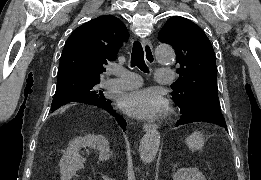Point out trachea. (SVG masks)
<instances>
[{
	"instance_id": "trachea-1",
	"label": "trachea",
	"mask_w": 261,
	"mask_h": 180,
	"mask_svg": "<svg viewBox=\"0 0 261 180\" xmlns=\"http://www.w3.org/2000/svg\"><path fill=\"white\" fill-rule=\"evenodd\" d=\"M131 67H138L142 72L149 73L148 67L144 61V52L139 41H135L133 44L132 54H131Z\"/></svg>"
}]
</instances>
